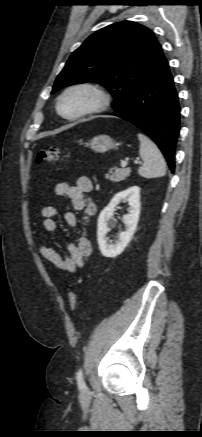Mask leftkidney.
Wrapping results in <instances>:
<instances>
[{"instance_id":"obj_1","label":"left kidney","mask_w":202,"mask_h":437,"mask_svg":"<svg viewBox=\"0 0 202 437\" xmlns=\"http://www.w3.org/2000/svg\"><path fill=\"white\" fill-rule=\"evenodd\" d=\"M120 202H128L130 209L129 214L123 216L125 231L119 233L117 240L109 243V238L106 234L110 231L109 225L114 215L115 207ZM140 215V188L132 186L124 191L117 193L108 206H106L99 215L97 240L99 249L105 257H116L120 255L130 240L132 239L139 220Z\"/></svg>"}]
</instances>
